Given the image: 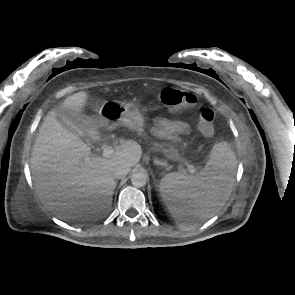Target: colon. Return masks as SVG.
<instances>
[{"instance_id": "5ec220e1", "label": "colon", "mask_w": 295, "mask_h": 295, "mask_svg": "<svg viewBox=\"0 0 295 295\" xmlns=\"http://www.w3.org/2000/svg\"><path fill=\"white\" fill-rule=\"evenodd\" d=\"M157 98L161 103L175 112H181L191 108L196 104V97L183 90L174 88H165L157 93ZM198 129L205 135L210 136L214 132V112L207 107L199 111Z\"/></svg>"}]
</instances>
